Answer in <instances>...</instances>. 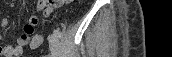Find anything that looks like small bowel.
<instances>
[{
	"mask_svg": "<svg viewBox=\"0 0 172 57\" xmlns=\"http://www.w3.org/2000/svg\"><path fill=\"white\" fill-rule=\"evenodd\" d=\"M67 2V0H39L37 2V9L42 11L43 17L46 18L54 9ZM37 23L38 18L36 16H31L28 23L23 26V32L17 38L15 45H0V55L5 57H19L23 52V48L27 45L32 49L38 48L43 42V37L40 34H34ZM0 25L1 27H6L8 25V20L6 18L2 19ZM0 39H3L1 35Z\"/></svg>",
	"mask_w": 172,
	"mask_h": 57,
	"instance_id": "c3829d8e",
	"label": "small bowel"
}]
</instances>
